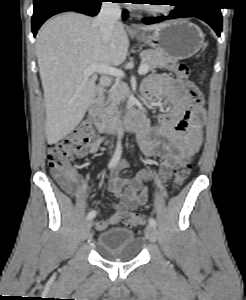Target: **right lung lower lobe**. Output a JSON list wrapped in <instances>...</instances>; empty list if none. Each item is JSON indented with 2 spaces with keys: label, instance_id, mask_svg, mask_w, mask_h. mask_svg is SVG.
I'll use <instances>...</instances> for the list:
<instances>
[{
  "label": "right lung lower lobe",
  "instance_id": "right-lung-lower-lobe-1",
  "mask_svg": "<svg viewBox=\"0 0 246 300\" xmlns=\"http://www.w3.org/2000/svg\"><path fill=\"white\" fill-rule=\"evenodd\" d=\"M103 0H34V13L32 16V32L36 33L40 26L51 16L65 12L76 11L90 16L98 14ZM127 11L123 18H127Z\"/></svg>",
  "mask_w": 246,
  "mask_h": 300
}]
</instances>
